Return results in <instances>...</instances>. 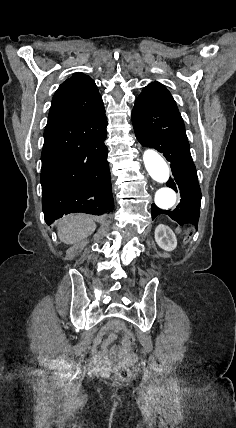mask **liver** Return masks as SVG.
Wrapping results in <instances>:
<instances>
[{
  "instance_id": "1",
  "label": "liver",
  "mask_w": 236,
  "mask_h": 428,
  "mask_svg": "<svg viewBox=\"0 0 236 428\" xmlns=\"http://www.w3.org/2000/svg\"><path fill=\"white\" fill-rule=\"evenodd\" d=\"M57 226L58 238L64 244H76V242L91 236L96 228L95 222L86 214L66 216L58 222Z\"/></svg>"
}]
</instances>
